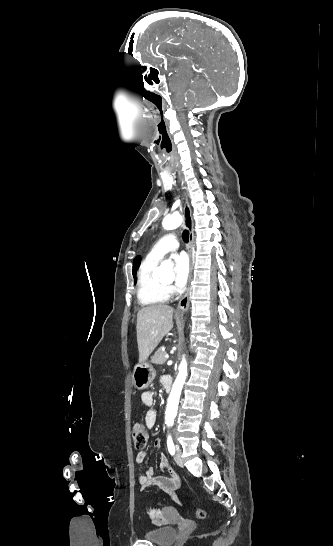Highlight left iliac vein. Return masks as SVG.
I'll return each mask as SVG.
<instances>
[{"mask_svg":"<svg viewBox=\"0 0 333 546\" xmlns=\"http://www.w3.org/2000/svg\"><path fill=\"white\" fill-rule=\"evenodd\" d=\"M175 462L177 463V465L179 466H183V459H182V452H181V449L179 446H177L176 448V454H175Z\"/></svg>","mask_w":333,"mask_h":546,"instance_id":"1","label":"left iliac vein"}]
</instances>
